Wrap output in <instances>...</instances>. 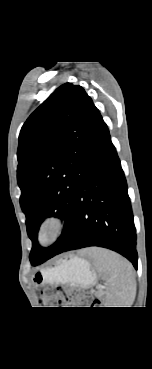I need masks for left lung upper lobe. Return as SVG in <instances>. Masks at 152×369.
Segmentation results:
<instances>
[{
  "label": "left lung upper lobe",
  "instance_id": "left-lung-upper-lobe-1",
  "mask_svg": "<svg viewBox=\"0 0 152 369\" xmlns=\"http://www.w3.org/2000/svg\"><path fill=\"white\" fill-rule=\"evenodd\" d=\"M99 117L84 89L65 83L29 116L20 131L17 181L33 243L29 256L33 266L55 256L72 227L83 157ZM51 216L64 220V230L52 246L42 248L37 233L42 221Z\"/></svg>",
  "mask_w": 152,
  "mask_h": 369
}]
</instances>
